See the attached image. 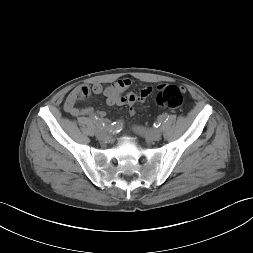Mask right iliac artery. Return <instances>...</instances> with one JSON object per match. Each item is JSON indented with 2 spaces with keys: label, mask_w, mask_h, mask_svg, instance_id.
Here are the masks:
<instances>
[{
  "label": "right iliac artery",
  "mask_w": 253,
  "mask_h": 253,
  "mask_svg": "<svg viewBox=\"0 0 253 253\" xmlns=\"http://www.w3.org/2000/svg\"><path fill=\"white\" fill-rule=\"evenodd\" d=\"M93 121L95 122V124L98 128L107 127L110 131H114V132L120 131L123 127L122 120H119L117 122H113L111 124H107L103 120L98 118L97 116H94Z\"/></svg>",
  "instance_id": "82829eb1"
}]
</instances>
